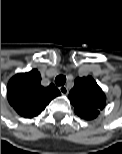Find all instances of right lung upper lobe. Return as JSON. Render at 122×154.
I'll return each mask as SVG.
<instances>
[{"label": "right lung upper lobe", "instance_id": "right-lung-upper-lobe-1", "mask_svg": "<svg viewBox=\"0 0 122 154\" xmlns=\"http://www.w3.org/2000/svg\"><path fill=\"white\" fill-rule=\"evenodd\" d=\"M61 95L54 84L41 86V76L37 69L13 76L7 87V97L10 105L18 114L31 118L37 116L46 105Z\"/></svg>", "mask_w": 122, "mask_h": 154}]
</instances>
